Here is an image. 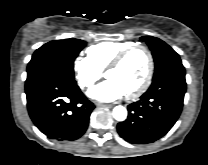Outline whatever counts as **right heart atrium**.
Segmentation results:
<instances>
[{"label": "right heart atrium", "instance_id": "obj_1", "mask_svg": "<svg viewBox=\"0 0 208 165\" xmlns=\"http://www.w3.org/2000/svg\"><path fill=\"white\" fill-rule=\"evenodd\" d=\"M73 70L81 88H90L101 77V70L88 57L77 56L73 61Z\"/></svg>", "mask_w": 208, "mask_h": 165}]
</instances>
